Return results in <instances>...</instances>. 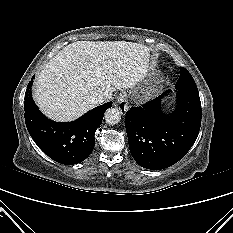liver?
<instances>
[{
  "mask_svg": "<svg viewBox=\"0 0 233 233\" xmlns=\"http://www.w3.org/2000/svg\"><path fill=\"white\" fill-rule=\"evenodd\" d=\"M149 48L126 41H77L65 46L41 70L34 83L40 110L56 121H71L95 104L97 95L110 99L132 88L148 68Z\"/></svg>",
  "mask_w": 233,
  "mask_h": 233,
  "instance_id": "obj_1",
  "label": "liver"
}]
</instances>
